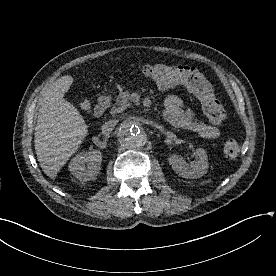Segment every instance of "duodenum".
Listing matches in <instances>:
<instances>
[{
  "label": "duodenum",
  "mask_w": 276,
  "mask_h": 276,
  "mask_svg": "<svg viewBox=\"0 0 276 276\" xmlns=\"http://www.w3.org/2000/svg\"><path fill=\"white\" fill-rule=\"evenodd\" d=\"M109 105V99L106 96H102L97 105L95 106L94 114L97 118H102L107 107Z\"/></svg>",
  "instance_id": "obj_1"
}]
</instances>
